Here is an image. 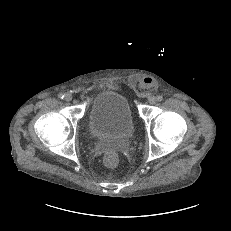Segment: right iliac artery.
I'll use <instances>...</instances> for the list:
<instances>
[{
    "instance_id": "obj_1",
    "label": "right iliac artery",
    "mask_w": 231,
    "mask_h": 231,
    "mask_svg": "<svg viewBox=\"0 0 231 231\" xmlns=\"http://www.w3.org/2000/svg\"><path fill=\"white\" fill-rule=\"evenodd\" d=\"M58 97H59L60 99H63L65 96H64V94L60 93V94L58 95Z\"/></svg>"
}]
</instances>
